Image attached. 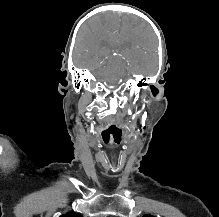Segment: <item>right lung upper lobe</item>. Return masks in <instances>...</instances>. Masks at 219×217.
Returning <instances> with one entry per match:
<instances>
[{
	"mask_svg": "<svg viewBox=\"0 0 219 217\" xmlns=\"http://www.w3.org/2000/svg\"><path fill=\"white\" fill-rule=\"evenodd\" d=\"M60 217H82V216L77 213H67V214L61 215Z\"/></svg>",
	"mask_w": 219,
	"mask_h": 217,
	"instance_id": "1",
	"label": "right lung upper lobe"
}]
</instances>
